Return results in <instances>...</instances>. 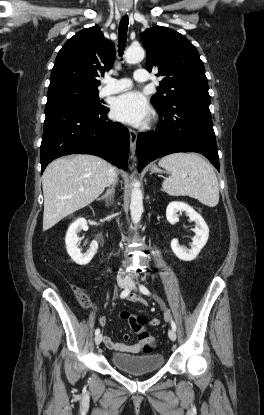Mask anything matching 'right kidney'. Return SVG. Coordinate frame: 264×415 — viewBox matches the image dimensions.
<instances>
[{
	"instance_id": "right-kidney-1",
	"label": "right kidney",
	"mask_w": 264,
	"mask_h": 415,
	"mask_svg": "<svg viewBox=\"0 0 264 415\" xmlns=\"http://www.w3.org/2000/svg\"><path fill=\"white\" fill-rule=\"evenodd\" d=\"M87 229V221L84 218H78L69 226L66 233L65 244L67 253L78 265H87L92 260L98 249V243L94 240L91 242L87 252L84 254L81 253V249L78 247V232Z\"/></svg>"
}]
</instances>
